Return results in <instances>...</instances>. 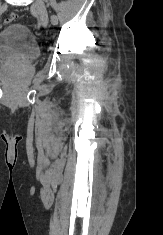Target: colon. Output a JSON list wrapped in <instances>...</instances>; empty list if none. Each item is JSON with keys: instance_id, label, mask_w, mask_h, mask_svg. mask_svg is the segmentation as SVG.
I'll return each mask as SVG.
<instances>
[{"instance_id": "1", "label": "colon", "mask_w": 163, "mask_h": 235, "mask_svg": "<svg viewBox=\"0 0 163 235\" xmlns=\"http://www.w3.org/2000/svg\"><path fill=\"white\" fill-rule=\"evenodd\" d=\"M18 18V15L16 13H10L6 18L4 19V22L6 24L14 22Z\"/></svg>"}]
</instances>
